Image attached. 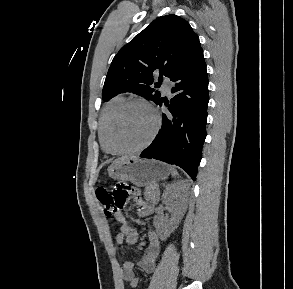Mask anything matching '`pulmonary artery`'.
<instances>
[{"label":"pulmonary artery","instance_id":"1","mask_svg":"<svg viewBox=\"0 0 293 289\" xmlns=\"http://www.w3.org/2000/svg\"><path fill=\"white\" fill-rule=\"evenodd\" d=\"M170 87H171L170 81L169 80H165L163 82V90H164V92L168 94L170 92Z\"/></svg>","mask_w":293,"mask_h":289}]
</instances>
